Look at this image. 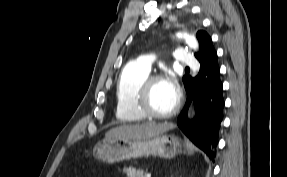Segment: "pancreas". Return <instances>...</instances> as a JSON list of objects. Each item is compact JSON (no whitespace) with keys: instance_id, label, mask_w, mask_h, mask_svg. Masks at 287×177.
<instances>
[{"instance_id":"cf45deb5","label":"pancreas","mask_w":287,"mask_h":177,"mask_svg":"<svg viewBox=\"0 0 287 177\" xmlns=\"http://www.w3.org/2000/svg\"><path fill=\"white\" fill-rule=\"evenodd\" d=\"M123 172L128 176V177H146V174L144 173L143 170H139L133 167H127L124 168Z\"/></svg>"}]
</instances>
